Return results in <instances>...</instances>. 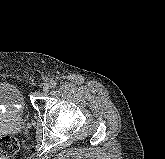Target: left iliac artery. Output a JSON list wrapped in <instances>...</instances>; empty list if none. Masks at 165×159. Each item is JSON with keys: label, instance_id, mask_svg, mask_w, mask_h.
Masks as SVG:
<instances>
[{"label": "left iliac artery", "instance_id": "1", "mask_svg": "<svg viewBox=\"0 0 165 159\" xmlns=\"http://www.w3.org/2000/svg\"><path fill=\"white\" fill-rule=\"evenodd\" d=\"M56 86H57V83H56L55 81H52V82H51V87H52V88H55Z\"/></svg>", "mask_w": 165, "mask_h": 159}]
</instances>
